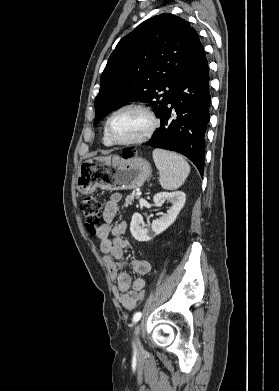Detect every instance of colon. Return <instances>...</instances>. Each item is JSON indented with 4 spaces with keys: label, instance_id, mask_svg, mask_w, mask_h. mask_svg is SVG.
<instances>
[{
    "label": "colon",
    "instance_id": "5ec220e1",
    "mask_svg": "<svg viewBox=\"0 0 279 391\" xmlns=\"http://www.w3.org/2000/svg\"><path fill=\"white\" fill-rule=\"evenodd\" d=\"M104 204L101 200L94 197H86L81 202V211L83 213L86 226L90 233L96 234L102 219ZM145 289L139 292V301L145 297Z\"/></svg>",
    "mask_w": 279,
    "mask_h": 391
}]
</instances>
